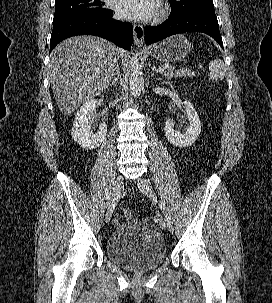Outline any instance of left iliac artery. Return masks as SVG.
<instances>
[{"instance_id": "1", "label": "left iliac artery", "mask_w": 272, "mask_h": 303, "mask_svg": "<svg viewBox=\"0 0 272 303\" xmlns=\"http://www.w3.org/2000/svg\"><path fill=\"white\" fill-rule=\"evenodd\" d=\"M160 208L161 210L164 212V214L166 215L167 217V221L168 222H171L172 221V218H171V214L167 212L166 208H165V203L163 201H160Z\"/></svg>"}]
</instances>
